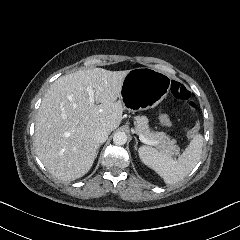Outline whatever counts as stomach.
I'll return each mask as SVG.
<instances>
[{"label": "stomach", "instance_id": "obj_1", "mask_svg": "<svg viewBox=\"0 0 240 240\" xmlns=\"http://www.w3.org/2000/svg\"><path fill=\"white\" fill-rule=\"evenodd\" d=\"M170 81V75L151 67L129 70L120 92L123 107L128 111L155 107L167 96Z\"/></svg>", "mask_w": 240, "mask_h": 240}]
</instances>
